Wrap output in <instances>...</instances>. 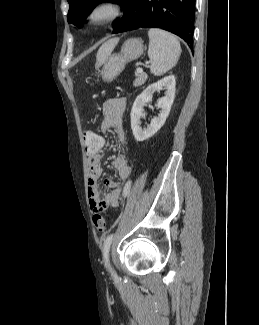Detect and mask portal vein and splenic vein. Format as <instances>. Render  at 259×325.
Instances as JSON below:
<instances>
[{"label": "portal vein and splenic vein", "mask_w": 259, "mask_h": 325, "mask_svg": "<svg viewBox=\"0 0 259 325\" xmlns=\"http://www.w3.org/2000/svg\"><path fill=\"white\" fill-rule=\"evenodd\" d=\"M142 71H143V70H142L141 67H138V68H137V72L141 73Z\"/></svg>", "instance_id": "1"}]
</instances>
